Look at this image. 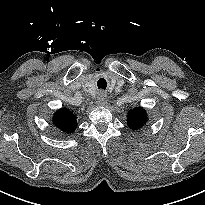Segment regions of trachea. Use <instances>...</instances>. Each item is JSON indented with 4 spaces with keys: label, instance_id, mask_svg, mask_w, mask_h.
I'll return each instance as SVG.
<instances>
[{
    "label": "trachea",
    "instance_id": "obj_1",
    "mask_svg": "<svg viewBox=\"0 0 205 205\" xmlns=\"http://www.w3.org/2000/svg\"><path fill=\"white\" fill-rule=\"evenodd\" d=\"M98 86H99V88H102V89H105V88H106V87H104V86L101 87V85H99V81H98Z\"/></svg>",
    "mask_w": 205,
    "mask_h": 205
}]
</instances>
